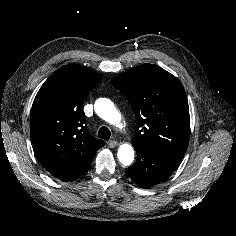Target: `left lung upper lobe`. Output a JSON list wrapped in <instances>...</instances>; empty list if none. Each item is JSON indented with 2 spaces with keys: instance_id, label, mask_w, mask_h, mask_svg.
<instances>
[{
  "instance_id": "5c2ea615",
  "label": "left lung upper lobe",
  "mask_w": 236,
  "mask_h": 236,
  "mask_svg": "<svg viewBox=\"0 0 236 236\" xmlns=\"http://www.w3.org/2000/svg\"><path fill=\"white\" fill-rule=\"evenodd\" d=\"M136 115L132 143L182 159L190 135L189 107L178 78L154 64H143L112 79Z\"/></svg>"
}]
</instances>
